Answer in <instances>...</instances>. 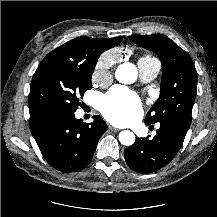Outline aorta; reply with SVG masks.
I'll return each instance as SVG.
<instances>
[{
	"label": "aorta",
	"mask_w": 217,
	"mask_h": 217,
	"mask_svg": "<svg viewBox=\"0 0 217 217\" xmlns=\"http://www.w3.org/2000/svg\"><path fill=\"white\" fill-rule=\"evenodd\" d=\"M138 75L137 68L132 63H123L118 66L115 72L116 79L123 84H132L136 81ZM121 144L131 146L135 142V135L129 130H124L119 134Z\"/></svg>",
	"instance_id": "obj_1"
}]
</instances>
